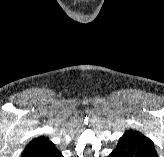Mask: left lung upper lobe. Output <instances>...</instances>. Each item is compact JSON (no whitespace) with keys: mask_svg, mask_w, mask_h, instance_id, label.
<instances>
[{"mask_svg":"<svg viewBox=\"0 0 164 157\" xmlns=\"http://www.w3.org/2000/svg\"><path fill=\"white\" fill-rule=\"evenodd\" d=\"M126 134H134V135H137V136H139V137H141L143 139H146V140L151 142L150 139H148L147 137L143 136L142 134H140L139 132H136V131L128 130V131H126Z\"/></svg>","mask_w":164,"mask_h":157,"instance_id":"obj_1","label":"left lung upper lobe"}]
</instances>
